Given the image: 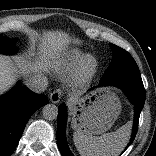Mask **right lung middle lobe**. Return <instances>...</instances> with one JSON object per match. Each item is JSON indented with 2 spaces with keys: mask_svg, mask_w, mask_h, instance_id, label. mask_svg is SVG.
Here are the masks:
<instances>
[{
  "mask_svg": "<svg viewBox=\"0 0 156 156\" xmlns=\"http://www.w3.org/2000/svg\"><path fill=\"white\" fill-rule=\"evenodd\" d=\"M14 41V39L8 40L7 38H4L2 35H0V53H14L16 51V48L13 45Z\"/></svg>",
  "mask_w": 156,
  "mask_h": 156,
  "instance_id": "right-lung-middle-lobe-1",
  "label": "right lung middle lobe"
}]
</instances>
